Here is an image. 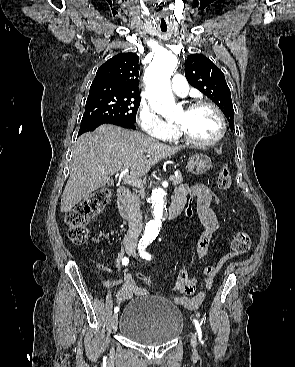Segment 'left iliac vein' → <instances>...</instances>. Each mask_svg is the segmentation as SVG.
<instances>
[{
    "mask_svg": "<svg viewBox=\"0 0 295 367\" xmlns=\"http://www.w3.org/2000/svg\"><path fill=\"white\" fill-rule=\"evenodd\" d=\"M133 256L137 258V254L134 252ZM191 345L195 349L196 348V335L192 332L191 333Z\"/></svg>",
    "mask_w": 295,
    "mask_h": 367,
    "instance_id": "left-iliac-vein-1",
    "label": "left iliac vein"
}]
</instances>
